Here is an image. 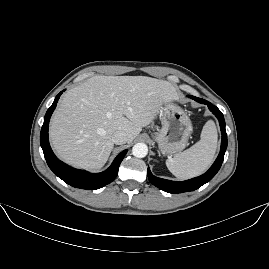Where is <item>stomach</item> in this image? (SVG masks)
Listing matches in <instances>:
<instances>
[{
  "mask_svg": "<svg viewBox=\"0 0 269 269\" xmlns=\"http://www.w3.org/2000/svg\"><path fill=\"white\" fill-rule=\"evenodd\" d=\"M160 108L162 128L154 134V139L164 155L180 152L192 133L191 120L181 107L171 101L161 103Z\"/></svg>",
  "mask_w": 269,
  "mask_h": 269,
  "instance_id": "obj_1",
  "label": "stomach"
}]
</instances>
